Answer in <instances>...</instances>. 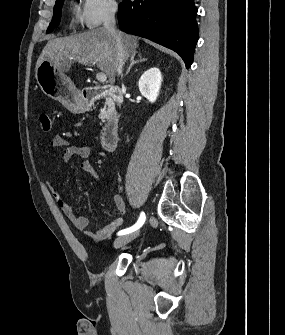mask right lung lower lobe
I'll use <instances>...</instances> for the list:
<instances>
[{"mask_svg":"<svg viewBox=\"0 0 285 335\" xmlns=\"http://www.w3.org/2000/svg\"><path fill=\"white\" fill-rule=\"evenodd\" d=\"M196 14L194 0H124L118 22L123 31L174 50L189 68L198 40Z\"/></svg>","mask_w":285,"mask_h":335,"instance_id":"98d812e1","label":"right lung lower lobe"}]
</instances>
